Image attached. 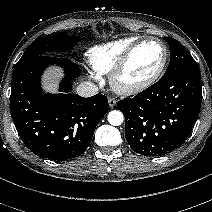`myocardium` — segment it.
<instances>
[{"label": "myocardium", "mask_w": 212, "mask_h": 212, "mask_svg": "<svg viewBox=\"0 0 212 212\" xmlns=\"http://www.w3.org/2000/svg\"><path fill=\"white\" fill-rule=\"evenodd\" d=\"M148 42H156L163 49V59L159 67L153 74H151L149 77L139 82L135 83L125 82L123 80V75L132 56L141 45ZM168 57H169L168 48L162 40L153 37L138 39L125 51V53L122 55L119 62L115 66V68L111 71L109 80L113 90L121 95H135L144 91L145 89L153 85L160 78L167 65Z\"/></svg>", "instance_id": "1"}]
</instances>
